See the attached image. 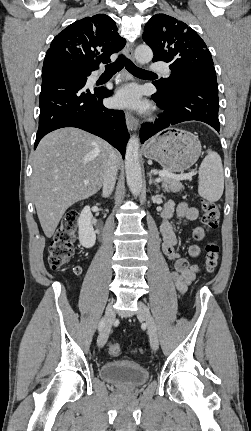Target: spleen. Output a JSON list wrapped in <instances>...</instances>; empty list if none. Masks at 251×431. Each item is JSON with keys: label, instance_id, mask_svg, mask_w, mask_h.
<instances>
[{"label": "spleen", "instance_id": "obj_1", "mask_svg": "<svg viewBox=\"0 0 251 431\" xmlns=\"http://www.w3.org/2000/svg\"><path fill=\"white\" fill-rule=\"evenodd\" d=\"M198 173L199 195L212 202L218 201L224 190V173L220 155L209 149Z\"/></svg>", "mask_w": 251, "mask_h": 431}]
</instances>
